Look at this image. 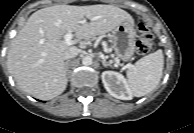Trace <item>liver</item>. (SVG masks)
I'll return each mask as SVG.
<instances>
[{
    "label": "liver",
    "mask_w": 194,
    "mask_h": 133,
    "mask_svg": "<svg viewBox=\"0 0 194 133\" xmlns=\"http://www.w3.org/2000/svg\"><path fill=\"white\" fill-rule=\"evenodd\" d=\"M86 17L90 22L82 23ZM128 21L126 11L112 5H55L34 12L11 41L7 67L18 86L28 94L50 100L67 86L64 53L71 48L63 40L74 33L73 43L105 34Z\"/></svg>",
    "instance_id": "1"
}]
</instances>
